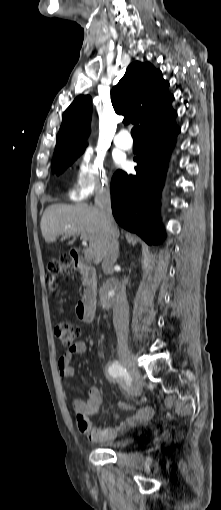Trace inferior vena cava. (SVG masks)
Masks as SVG:
<instances>
[{"label":"inferior vena cava","instance_id":"inferior-vena-cava-1","mask_svg":"<svg viewBox=\"0 0 221 510\" xmlns=\"http://www.w3.org/2000/svg\"><path fill=\"white\" fill-rule=\"evenodd\" d=\"M95 206L101 212L103 225L108 237L102 269L106 275H112L114 273V264L119 254V231L112 215L109 189L100 188L96 192ZM113 312V322L117 335V348L119 351H126L128 349L129 306L123 284H120L116 291Z\"/></svg>","mask_w":221,"mask_h":510}]
</instances>
